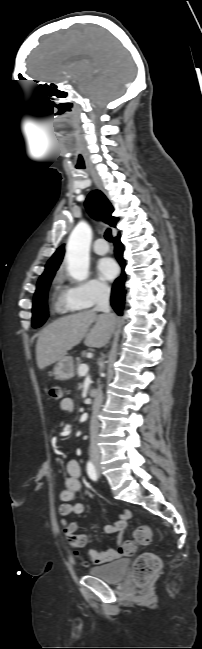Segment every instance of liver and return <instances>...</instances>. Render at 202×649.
<instances>
[{
    "mask_svg": "<svg viewBox=\"0 0 202 649\" xmlns=\"http://www.w3.org/2000/svg\"><path fill=\"white\" fill-rule=\"evenodd\" d=\"M95 322L88 332L90 325ZM116 325L113 314L97 315L87 310L62 317L45 327L36 344V361L39 369L53 364L67 355L86 336L85 345L101 348L108 344Z\"/></svg>",
    "mask_w": 202,
    "mask_h": 649,
    "instance_id": "6515ba94",
    "label": "liver"
}]
</instances>
